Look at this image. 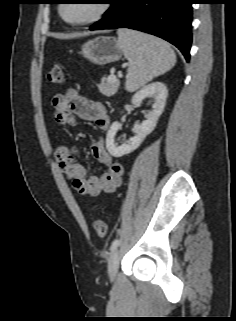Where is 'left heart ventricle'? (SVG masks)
Wrapping results in <instances>:
<instances>
[{
    "mask_svg": "<svg viewBox=\"0 0 236 321\" xmlns=\"http://www.w3.org/2000/svg\"><path fill=\"white\" fill-rule=\"evenodd\" d=\"M97 8L96 0H76L66 3L63 14L68 20H80L90 17Z\"/></svg>",
    "mask_w": 236,
    "mask_h": 321,
    "instance_id": "b2bd125f",
    "label": "left heart ventricle"
}]
</instances>
